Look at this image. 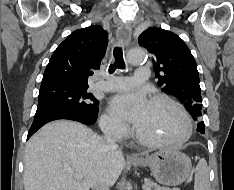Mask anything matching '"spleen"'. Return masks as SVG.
Instances as JSON below:
<instances>
[{
	"instance_id": "3e777b00",
	"label": "spleen",
	"mask_w": 234,
	"mask_h": 190,
	"mask_svg": "<svg viewBox=\"0 0 234 190\" xmlns=\"http://www.w3.org/2000/svg\"><path fill=\"white\" fill-rule=\"evenodd\" d=\"M194 190H210L209 169L204 158L199 160L195 168Z\"/></svg>"
}]
</instances>
